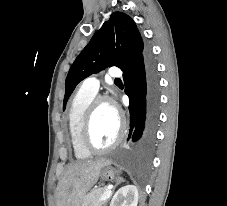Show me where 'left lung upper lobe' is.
Instances as JSON below:
<instances>
[{"instance_id": "obj_1", "label": "left lung upper lobe", "mask_w": 227, "mask_h": 206, "mask_svg": "<svg viewBox=\"0 0 227 206\" xmlns=\"http://www.w3.org/2000/svg\"><path fill=\"white\" fill-rule=\"evenodd\" d=\"M145 52L146 48L132 18L122 12L112 13L72 64L65 82L63 110L80 81L111 66L126 71Z\"/></svg>"}]
</instances>
